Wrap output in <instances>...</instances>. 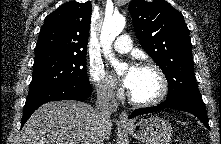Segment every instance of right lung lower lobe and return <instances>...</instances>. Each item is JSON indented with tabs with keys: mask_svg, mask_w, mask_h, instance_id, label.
I'll use <instances>...</instances> for the list:
<instances>
[{
	"mask_svg": "<svg viewBox=\"0 0 221 144\" xmlns=\"http://www.w3.org/2000/svg\"><path fill=\"white\" fill-rule=\"evenodd\" d=\"M91 93L92 88L90 85H59L46 89L38 95L26 100L21 126H23L31 114L44 103L67 99L83 101L86 100Z\"/></svg>",
	"mask_w": 221,
	"mask_h": 144,
	"instance_id": "1",
	"label": "right lung lower lobe"
}]
</instances>
